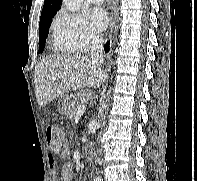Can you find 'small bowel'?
Wrapping results in <instances>:
<instances>
[{
  "label": "small bowel",
  "instance_id": "1",
  "mask_svg": "<svg viewBox=\"0 0 197 181\" xmlns=\"http://www.w3.org/2000/svg\"><path fill=\"white\" fill-rule=\"evenodd\" d=\"M69 154H70L69 147L66 144H64L60 150V157L66 160L63 163L61 167V171H60V177L62 181H72L74 177L73 165L70 161L67 160L69 157ZM49 164L51 168L52 180L58 181V171H57L58 163H57L55 154L52 152L49 155Z\"/></svg>",
  "mask_w": 197,
  "mask_h": 181
}]
</instances>
